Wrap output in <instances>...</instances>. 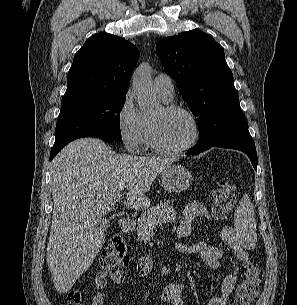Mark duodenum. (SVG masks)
Listing matches in <instances>:
<instances>
[{"label": "duodenum", "mask_w": 297, "mask_h": 305, "mask_svg": "<svg viewBox=\"0 0 297 305\" xmlns=\"http://www.w3.org/2000/svg\"><path fill=\"white\" fill-rule=\"evenodd\" d=\"M119 227L124 233L131 232L135 227V222L132 217L124 216L122 217L119 222Z\"/></svg>", "instance_id": "1"}]
</instances>
